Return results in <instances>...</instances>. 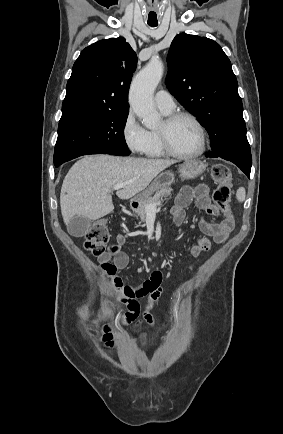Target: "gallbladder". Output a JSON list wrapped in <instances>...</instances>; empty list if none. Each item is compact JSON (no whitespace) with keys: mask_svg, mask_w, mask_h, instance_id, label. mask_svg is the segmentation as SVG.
I'll list each match as a JSON object with an SVG mask.
<instances>
[{"mask_svg":"<svg viewBox=\"0 0 283 434\" xmlns=\"http://www.w3.org/2000/svg\"><path fill=\"white\" fill-rule=\"evenodd\" d=\"M92 221L81 216L74 217L68 224V232L74 237H82L88 233Z\"/></svg>","mask_w":283,"mask_h":434,"instance_id":"bac80fb5","label":"gallbladder"}]
</instances>
